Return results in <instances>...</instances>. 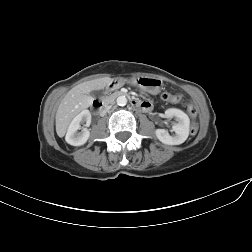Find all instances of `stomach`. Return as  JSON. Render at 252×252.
Returning a JSON list of instances; mask_svg holds the SVG:
<instances>
[{"instance_id": "1", "label": "stomach", "mask_w": 252, "mask_h": 252, "mask_svg": "<svg viewBox=\"0 0 252 252\" xmlns=\"http://www.w3.org/2000/svg\"><path fill=\"white\" fill-rule=\"evenodd\" d=\"M131 82L141 90L146 91L152 95L158 94L162 87L161 80L151 76L134 77L132 78Z\"/></svg>"}]
</instances>
